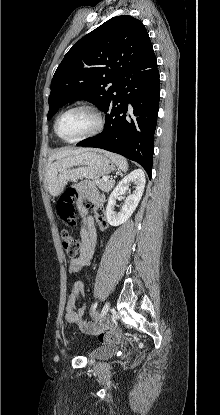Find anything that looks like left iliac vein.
Instances as JSON below:
<instances>
[{"label": "left iliac vein", "mask_w": 220, "mask_h": 415, "mask_svg": "<svg viewBox=\"0 0 220 415\" xmlns=\"http://www.w3.org/2000/svg\"><path fill=\"white\" fill-rule=\"evenodd\" d=\"M103 310H104L106 313L104 314V316H102V318H105L106 314H107V313H108V311L110 310V303H109V301H107V302L105 303V305H104V307H103Z\"/></svg>", "instance_id": "left-iliac-vein-1"}]
</instances>
